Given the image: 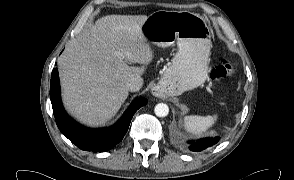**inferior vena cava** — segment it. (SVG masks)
<instances>
[{"mask_svg": "<svg viewBox=\"0 0 294 180\" xmlns=\"http://www.w3.org/2000/svg\"><path fill=\"white\" fill-rule=\"evenodd\" d=\"M143 86V79L141 76L133 77L131 78L127 84L126 87L131 92L139 91Z\"/></svg>", "mask_w": 294, "mask_h": 180, "instance_id": "inferior-vena-cava-1", "label": "inferior vena cava"}]
</instances>
